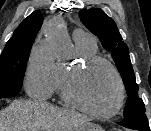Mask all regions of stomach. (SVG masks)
Segmentation results:
<instances>
[{
	"mask_svg": "<svg viewBox=\"0 0 151 131\" xmlns=\"http://www.w3.org/2000/svg\"><path fill=\"white\" fill-rule=\"evenodd\" d=\"M77 131H104L101 126L93 123L82 125Z\"/></svg>",
	"mask_w": 151,
	"mask_h": 131,
	"instance_id": "obj_1",
	"label": "stomach"
}]
</instances>
